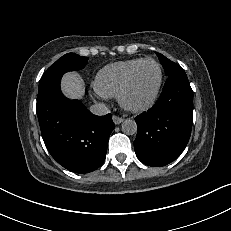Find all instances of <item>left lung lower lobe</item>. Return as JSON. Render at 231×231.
Returning <instances> with one entry per match:
<instances>
[{"mask_svg":"<svg viewBox=\"0 0 231 231\" xmlns=\"http://www.w3.org/2000/svg\"><path fill=\"white\" fill-rule=\"evenodd\" d=\"M135 121L138 133L134 149L141 162L160 167L182 153L193 121V91L183 69L168 75L158 101Z\"/></svg>","mask_w":231,"mask_h":231,"instance_id":"left-lung-lower-lobe-1","label":"left lung lower lobe"}]
</instances>
